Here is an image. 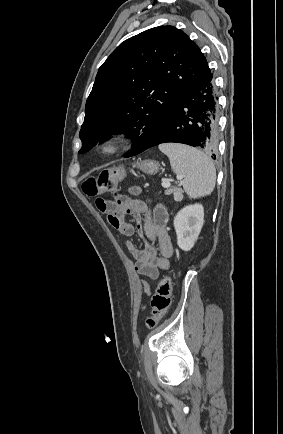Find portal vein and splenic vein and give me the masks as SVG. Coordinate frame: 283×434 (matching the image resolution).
Returning <instances> with one entry per match:
<instances>
[{"instance_id": "portal-vein-and-splenic-vein-1", "label": "portal vein and splenic vein", "mask_w": 283, "mask_h": 434, "mask_svg": "<svg viewBox=\"0 0 283 434\" xmlns=\"http://www.w3.org/2000/svg\"><path fill=\"white\" fill-rule=\"evenodd\" d=\"M182 177L181 176H179L178 177V179H181ZM162 186L163 187H165V188H167V187H169L170 186V181H166V180H162Z\"/></svg>"}]
</instances>
